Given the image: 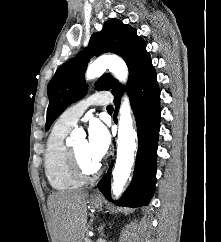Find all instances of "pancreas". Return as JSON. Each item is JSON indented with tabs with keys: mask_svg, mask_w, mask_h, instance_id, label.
<instances>
[{
	"mask_svg": "<svg viewBox=\"0 0 221 242\" xmlns=\"http://www.w3.org/2000/svg\"><path fill=\"white\" fill-rule=\"evenodd\" d=\"M84 242H92V241H91V239H89L88 237H86V238L84 239Z\"/></svg>",
	"mask_w": 221,
	"mask_h": 242,
	"instance_id": "obj_1",
	"label": "pancreas"
}]
</instances>
